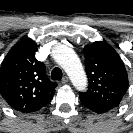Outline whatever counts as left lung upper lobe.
<instances>
[{"mask_svg": "<svg viewBox=\"0 0 133 133\" xmlns=\"http://www.w3.org/2000/svg\"><path fill=\"white\" fill-rule=\"evenodd\" d=\"M89 86L80 92L81 103L96 113L117 107L128 88V75L118 53L105 42L83 49Z\"/></svg>", "mask_w": 133, "mask_h": 133, "instance_id": "obj_1", "label": "left lung upper lobe"}]
</instances>
